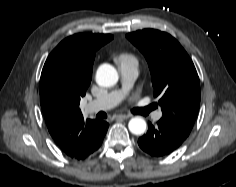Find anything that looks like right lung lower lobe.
Returning <instances> with one entry per match:
<instances>
[{
	"instance_id": "right-lung-lower-lobe-1",
	"label": "right lung lower lobe",
	"mask_w": 236,
	"mask_h": 187,
	"mask_svg": "<svg viewBox=\"0 0 236 187\" xmlns=\"http://www.w3.org/2000/svg\"><path fill=\"white\" fill-rule=\"evenodd\" d=\"M108 127H109V124L107 122H104V121L99 122L98 130L95 134L94 140L90 146L88 153L86 154V156L83 159H85L86 157L91 155L93 152H95L100 147V145L102 144L103 138L107 132Z\"/></svg>"
}]
</instances>
